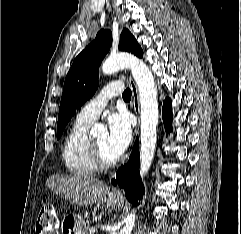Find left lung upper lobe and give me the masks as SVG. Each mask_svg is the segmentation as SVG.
Masks as SVG:
<instances>
[{"label":"left lung upper lobe","instance_id":"5c2ea615","mask_svg":"<svg viewBox=\"0 0 241 234\" xmlns=\"http://www.w3.org/2000/svg\"><path fill=\"white\" fill-rule=\"evenodd\" d=\"M111 42V31L101 30L95 40L73 61L64 82L57 123V139L62 135L76 110L91 98L98 88V68L109 51ZM119 48L137 57L143 56L141 47L127 29H123L121 33Z\"/></svg>","mask_w":241,"mask_h":234}]
</instances>
